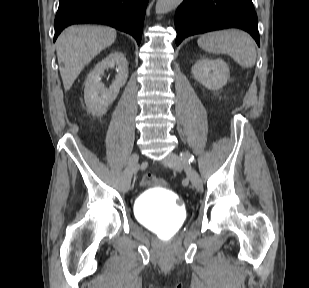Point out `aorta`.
Segmentation results:
<instances>
[{"mask_svg":"<svg viewBox=\"0 0 309 288\" xmlns=\"http://www.w3.org/2000/svg\"><path fill=\"white\" fill-rule=\"evenodd\" d=\"M183 0H157L156 12L159 14L168 13L177 8Z\"/></svg>","mask_w":309,"mask_h":288,"instance_id":"1","label":"aorta"}]
</instances>
